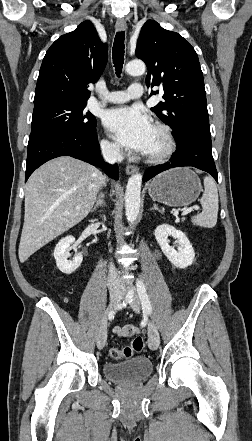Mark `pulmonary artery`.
Segmentation results:
<instances>
[{
    "instance_id": "e3ab8cb5",
    "label": "pulmonary artery",
    "mask_w": 252,
    "mask_h": 441,
    "mask_svg": "<svg viewBox=\"0 0 252 441\" xmlns=\"http://www.w3.org/2000/svg\"><path fill=\"white\" fill-rule=\"evenodd\" d=\"M144 90L140 84L130 85L127 91H114L105 95L104 100L108 103H124L130 99H136L143 95Z\"/></svg>"
}]
</instances>
